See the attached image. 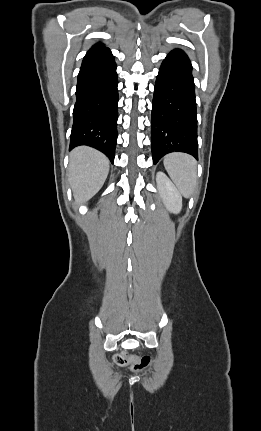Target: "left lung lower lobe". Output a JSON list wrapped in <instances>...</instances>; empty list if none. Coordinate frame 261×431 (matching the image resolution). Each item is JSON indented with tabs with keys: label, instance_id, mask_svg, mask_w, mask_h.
Returning a JSON list of instances; mask_svg holds the SVG:
<instances>
[{
	"label": "left lung lower lobe",
	"instance_id": "obj_1",
	"mask_svg": "<svg viewBox=\"0 0 261 431\" xmlns=\"http://www.w3.org/2000/svg\"><path fill=\"white\" fill-rule=\"evenodd\" d=\"M192 65L180 49L162 62L155 83L151 116L153 163L171 152L198 159L197 114Z\"/></svg>",
	"mask_w": 261,
	"mask_h": 431
}]
</instances>
